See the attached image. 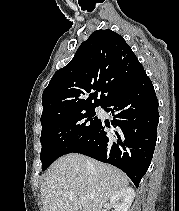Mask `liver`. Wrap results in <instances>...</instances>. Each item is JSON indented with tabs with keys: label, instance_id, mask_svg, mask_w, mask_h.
<instances>
[{
	"label": "liver",
	"instance_id": "obj_1",
	"mask_svg": "<svg viewBox=\"0 0 179 211\" xmlns=\"http://www.w3.org/2000/svg\"><path fill=\"white\" fill-rule=\"evenodd\" d=\"M129 178L117 168L81 154H67L48 169L41 185L44 211H101ZM80 196L87 200L80 207Z\"/></svg>",
	"mask_w": 179,
	"mask_h": 211
}]
</instances>
